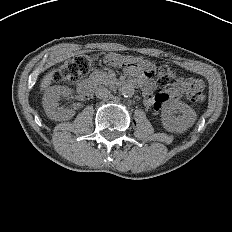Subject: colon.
<instances>
[{"instance_id": "5ec220e1", "label": "colon", "mask_w": 232, "mask_h": 232, "mask_svg": "<svg viewBox=\"0 0 232 232\" xmlns=\"http://www.w3.org/2000/svg\"><path fill=\"white\" fill-rule=\"evenodd\" d=\"M94 59L90 55L76 56L54 72V80L57 82H72L86 75L92 68ZM158 85L166 89L176 82L175 73L167 66L159 69L157 75ZM187 98L193 103H201L204 99V85L199 80H188L186 83Z\"/></svg>"}]
</instances>
